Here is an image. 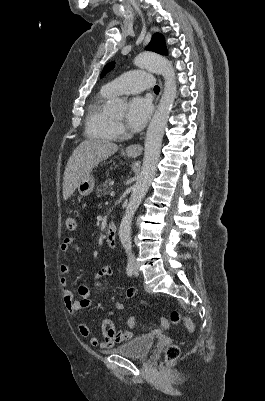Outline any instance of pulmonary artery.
I'll return each mask as SVG.
<instances>
[{"instance_id": "e3ab8cb5", "label": "pulmonary artery", "mask_w": 265, "mask_h": 401, "mask_svg": "<svg viewBox=\"0 0 265 401\" xmlns=\"http://www.w3.org/2000/svg\"><path fill=\"white\" fill-rule=\"evenodd\" d=\"M152 87V76L148 72H125L118 75L117 81L105 86L112 95H140L142 90H151Z\"/></svg>"}]
</instances>
